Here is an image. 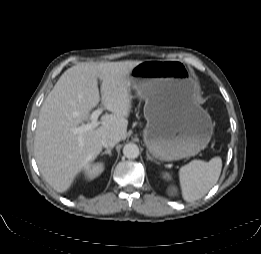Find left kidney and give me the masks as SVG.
Here are the masks:
<instances>
[{
    "label": "left kidney",
    "mask_w": 261,
    "mask_h": 254,
    "mask_svg": "<svg viewBox=\"0 0 261 254\" xmlns=\"http://www.w3.org/2000/svg\"><path fill=\"white\" fill-rule=\"evenodd\" d=\"M163 177H164V178H168V179L171 178L170 175H169L168 173H165V174L163 175Z\"/></svg>",
    "instance_id": "obj_1"
}]
</instances>
